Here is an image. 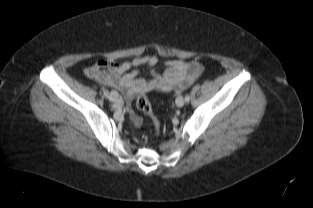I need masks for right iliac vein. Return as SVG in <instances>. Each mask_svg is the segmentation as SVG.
Masks as SVG:
<instances>
[{"instance_id": "1", "label": "right iliac vein", "mask_w": 313, "mask_h": 208, "mask_svg": "<svg viewBox=\"0 0 313 208\" xmlns=\"http://www.w3.org/2000/svg\"><path fill=\"white\" fill-rule=\"evenodd\" d=\"M109 99L110 101L117 103L119 99L118 93L116 91H111L109 95Z\"/></svg>"}]
</instances>
